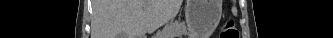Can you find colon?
<instances>
[{"mask_svg":"<svg viewBox=\"0 0 333 38\" xmlns=\"http://www.w3.org/2000/svg\"><path fill=\"white\" fill-rule=\"evenodd\" d=\"M221 38H239V32L233 20H228L222 28Z\"/></svg>","mask_w":333,"mask_h":38,"instance_id":"obj_1","label":"colon"}]
</instances>
